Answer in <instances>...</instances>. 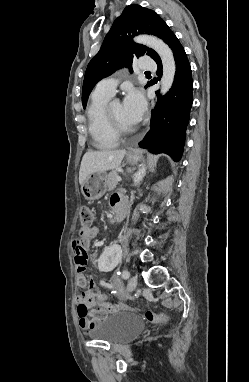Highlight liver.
Returning <instances> with one entry per match:
<instances>
[{
    "mask_svg": "<svg viewBox=\"0 0 249 382\" xmlns=\"http://www.w3.org/2000/svg\"><path fill=\"white\" fill-rule=\"evenodd\" d=\"M126 151L122 150H103L87 151L81 161L79 170V183L82 185L91 173L107 171L120 166Z\"/></svg>",
    "mask_w": 249,
    "mask_h": 382,
    "instance_id": "liver-1",
    "label": "liver"
}]
</instances>
